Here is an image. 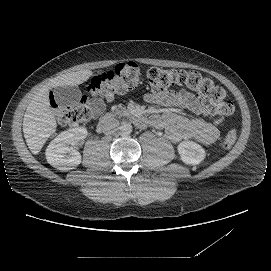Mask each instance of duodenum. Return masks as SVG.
<instances>
[{
  "instance_id": "obj_1",
  "label": "duodenum",
  "mask_w": 271,
  "mask_h": 271,
  "mask_svg": "<svg viewBox=\"0 0 271 271\" xmlns=\"http://www.w3.org/2000/svg\"><path fill=\"white\" fill-rule=\"evenodd\" d=\"M133 121L138 125V126H145L146 125V119L143 117H133ZM117 127V122L114 118L113 115H105L103 116L98 125H97V130L100 133L104 134H111L115 131Z\"/></svg>"
}]
</instances>
